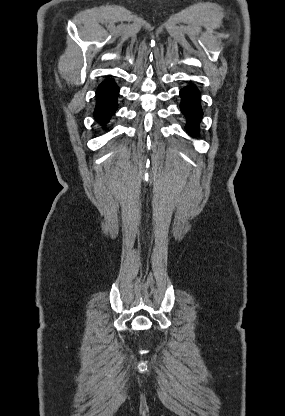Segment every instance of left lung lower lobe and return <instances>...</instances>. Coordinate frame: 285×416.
Instances as JSON below:
<instances>
[{
	"label": "left lung lower lobe",
	"mask_w": 285,
	"mask_h": 416,
	"mask_svg": "<svg viewBox=\"0 0 285 416\" xmlns=\"http://www.w3.org/2000/svg\"><path fill=\"white\" fill-rule=\"evenodd\" d=\"M180 96L182 98L180 108L187 118L186 129L192 136H196L199 132V122L203 115L200 106V93L195 85L190 84L180 91Z\"/></svg>",
	"instance_id": "0a47b994"
}]
</instances>
